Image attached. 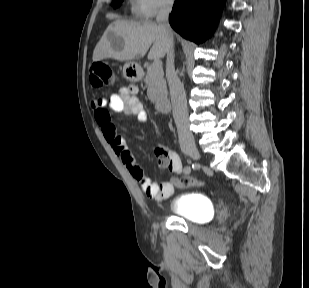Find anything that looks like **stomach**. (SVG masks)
<instances>
[{
    "instance_id": "stomach-1",
    "label": "stomach",
    "mask_w": 309,
    "mask_h": 288,
    "mask_svg": "<svg viewBox=\"0 0 309 288\" xmlns=\"http://www.w3.org/2000/svg\"><path fill=\"white\" fill-rule=\"evenodd\" d=\"M123 76L130 82H138L142 78L140 66L134 61H128L123 67Z\"/></svg>"
}]
</instances>
